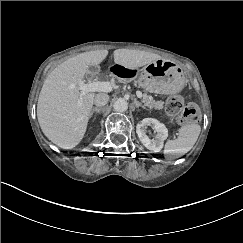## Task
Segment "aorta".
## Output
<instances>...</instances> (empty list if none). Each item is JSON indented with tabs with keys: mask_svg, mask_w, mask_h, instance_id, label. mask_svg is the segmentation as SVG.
<instances>
[{
	"mask_svg": "<svg viewBox=\"0 0 243 243\" xmlns=\"http://www.w3.org/2000/svg\"><path fill=\"white\" fill-rule=\"evenodd\" d=\"M113 108L116 112L123 113V112L127 111L128 104H127L126 100L119 98L118 100H116L114 102Z\"/></svg>",
	"mask_w": 243,
	"mask_h": 243,
	"instance_id": "1",
	"label": "aorta"
}]
</instances>
